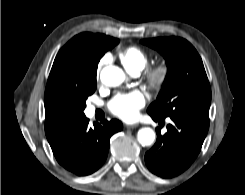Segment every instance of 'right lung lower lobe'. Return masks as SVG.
I'll list each match as a JSON object with an SVG mask.
<instances>
[{"label":"right lung lower lobe","instance_id":"98d812e1","mask_svg":"<svg viewBox=\"0 0 245 195\" xmlns=\"http://www.w3.org/2000/svg\"><path fill=\"white\" fill-rule=\"evenodd\" d=\"M88 124L89 120L84 116L62 138L50 143L58 163L78 176L89 175L103 165L110 137L123 128L116 119L95 123L94 128Z\"/></svg>","mask_w":245,"mask_h":195}]
</instances>
